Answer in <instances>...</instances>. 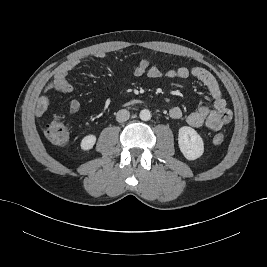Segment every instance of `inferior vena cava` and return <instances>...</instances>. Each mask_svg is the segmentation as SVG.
Listing matches in <instances>:
<instances>
[{
  "mask_svg": "<svg viewBox=\"0 0 267 267\" xmlns=\"http://www.w3.org/2000/svg\"><path fill=\"white\" fill-rule=\"evenodd\" d=\"M129 117H130V112L126 109H121L116 114V120L118 122H125L129 119Z\"/></svg>",
  "mask_w": 267,
  "mask_h": 267,
  "instance_id": "1",
  "label": "inferior vena cava"
}]
</instances>
